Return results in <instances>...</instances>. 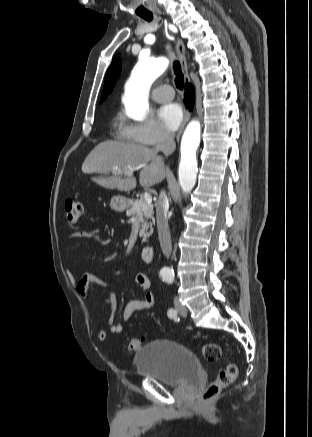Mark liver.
Listing matches in <instances>:
<instances>
[{
  "label": "liver",
  "instance_id": "obj_1",
  "mask_svg": "<svg viewBox=\"0 0 312 437\" xmlns=\"http://www.w3.org/2000/svg\"><path fill=\"white\" fill-rule=\"evenodd\" d=\"M157 153L155 148L133 142L105 141L89 153L82 171L105 175L111 172L110 177L100 176L92 180L110 190L130 191L136 187L137 181L126 173L141 168L140 185L150 187L161 182L166 174L163 159Z\"/></svg>",
  "mask_w": 312,
  "mask_h": 437
}]
</instances>
